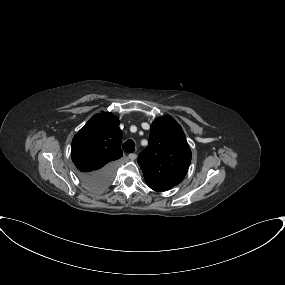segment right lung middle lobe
I'll return each mask as SVG.
<instances>
[{
	"label": "right lung middle lobe",
	"mask_w": 285,
	"mask_h": 285,
	"mask_svg": "<svg viewBox=\"0 0 285 285\" xmlns=\"http://www.w3.org/2000/svg\"><path fill=\"white\" fill-rule=\"evenodd\" d=\"M104 190V189H103ZM103 190H100V191H94V192H101V191H103ZM93 191V190H92Z\"/></svg>",
	"instance_id": "dd1d6c3e"
}]
</instances>
